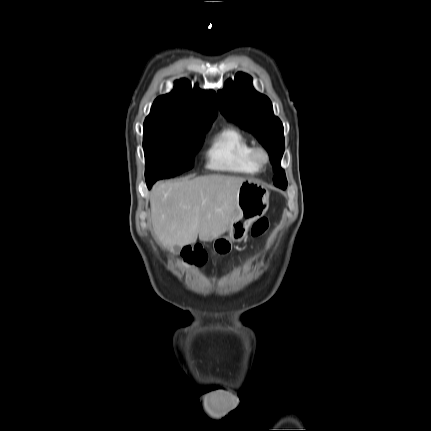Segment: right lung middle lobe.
Listing matches in <instances>:
<instances>
[{
	"mask_svg": "<svg viewBox=\"0 0 431 431\" xmlns=\"http://www.w3.org/2000/svg\"><path fill=\"white\" fill-rule=\"evenodd\" d=\"M209 128L144 122L146 181L173 177L191 169Z\"/></svg>",
	"mask_w": 431,
	"mask_h": 431,
	"instance_id": "dd1d6c3e",
	"label": "right lung middle lobe"
}]
</instances>
